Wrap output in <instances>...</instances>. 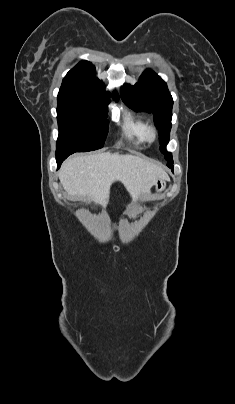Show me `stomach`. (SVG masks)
Listing matches in <instances>:
<instances>
[{
  "mask_svg": "<svg viewBox=\"0 0 235 404\" xmlns=\"http://www.w3.org/2000/svg\"><path fill=\"white\" fill-rule=\"evenodd\" d=\"M156 193L159 194L163 192L166 188V181L163 180H156L155 182Z\"/></svg>",
  "mask_w": 235,
  "mask_h": 404,
  "instance_id": "0dacf381",
  "label": "stomach"
}]
</instances>
